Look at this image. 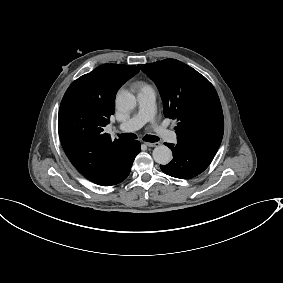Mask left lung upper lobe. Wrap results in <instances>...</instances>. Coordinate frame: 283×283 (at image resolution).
<instances>
[{
  "mask_svg": "<svg viewBox=\"0 0 283 283\" xmlns=\"http://www.w3.org/2000/svg\"><path fill=\"white\" fill-rule=\"evenodd\" d=\"M139 67L157 85L165 117L179 121L175 127L177 143L215 155L223 137L224 118L213 85L196 70L175 59Z\"/></svg>",
  "mask_w": 283,
  "mask_h": 283,
  "instance_id": "left-lung-upper-lobe-1",
  "label": "left lung upper lobe"
}]
</instances>
